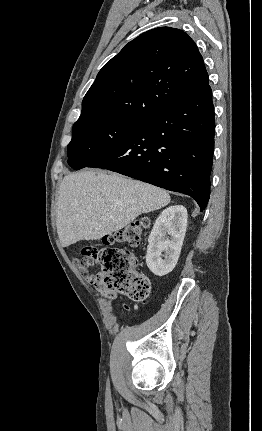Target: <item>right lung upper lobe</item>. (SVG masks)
Here are the masks:
<instances>
[{"label": "right lung upper lobe", "instance_id": "right-lung-upper-lobe-1", "mask_svg": "<svg viewBox=\"0 0 262 431\" xmlns=\"http://www.w3.org/2000/svg\"><path fill=\"white\" fill-rule=\"evenodd\" d=\"M208 86V74L194 41L179 29L155 28L129 42L100 70L75 124L144 119Z\"/></svg>", "mask_w": 262, "mask_h": 431}]
</instances>
